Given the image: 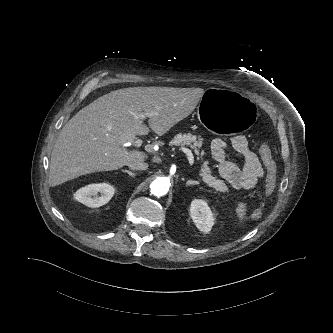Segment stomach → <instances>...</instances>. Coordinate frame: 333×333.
I'll use <instances>...</instances> for the list:
<instances>
[{
	"label": "stomach",
	"mask_w": 333,
	"mask_h": 333,
	"mask_svg": "<svg viewBox=\"0 0 333 333\" xmlns=\"http://www.w3.org/2000/svg\"><path fill=\"white\" fill-rule=\"evenodd\" d=\"M256 106L245 94L230 90H209L197 104L200 122L217 135H240L254 123Z\"/></svg>",
	"instance_id": "1"
}]
</instances>
